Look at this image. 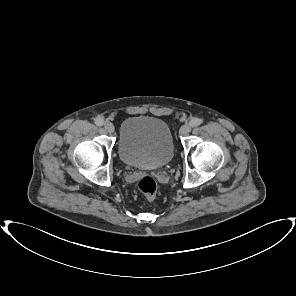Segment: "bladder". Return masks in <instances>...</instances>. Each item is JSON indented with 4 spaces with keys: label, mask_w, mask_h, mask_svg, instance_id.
<instances>
[{
    "label": "bladder",
    "mask_w": 296,
    "mask_h": 296,
    "mask_svg": "<svg viewBox=\"0 0 296 296\" xmlns=\"http://www.w3.org/2000/svg\"><path fill=\"white\" fill-rule=\"evenodd\" d=\"M173 153L172 134L163 120L134 116L122 122L118 154L124 164L144 170L158 169L172 160Z\"/></svg>",
    "instance_id": "bladder-1"
}]
</instances>
